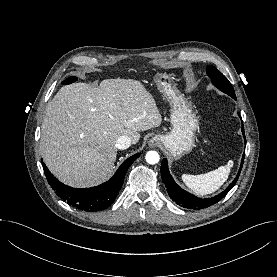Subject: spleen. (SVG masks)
Segmentation results:
<instances>
[{"mask_svg":"<svg viewBox=\"0 0 277 277\" xmlns=\"http://www.w3.org/2000/svg\"><path fill=\"white\" fill-rule=\"evenodd\" d=\"M233 161L229 160L227 165L201 175L183 174L182 180L185 185L197 195H207L218 190L228 179Z\"/></svg>","mask_w":277,"mask_h":277,"instance_id":"spleen-1","label":"spleen"}]
</instances>
